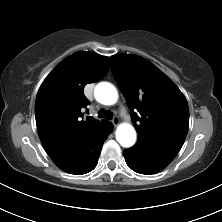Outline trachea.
Here are the masks:
<instances>
[{
  "label": "trachea",
  "mask_w": 222,
  "mask_h": 222,
  "mask_svg": "<svg viewBox=\"0 0 222 222\" xmlns=\"http://www.w3.org/2000/svg\"><path fill=\"white\" fill-rule=\"evenodd\" d=\"M98 117L100 118H106V119H112L113 113L111 111H105L104 109H100L98 111Z\"/></svg>",
  "instance_id": "obj_1"
}]
</instances>
